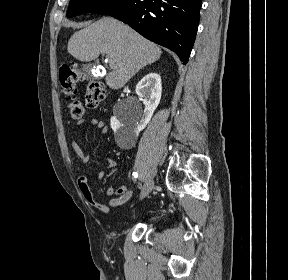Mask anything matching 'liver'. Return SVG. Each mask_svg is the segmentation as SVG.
I'll return each instance as SVG.
<instances>
[{
  "label": "liver",
  "mask_w": 288,
  "mask_h": 280,
  "mask_svg": "<svg viewBox=\"0 0 288 280\" xmlns=\"http://www.w3.org/2000/svg\"><path fill=\"white\" fill-rule=\"evenodd\" d=\"M67 51L79 61L89 62L101 53L107 54L114 67L106 75V84L121 89L140 69L157 61L161 49L124 23L103 17L75 32L69 39Z\"/></svg>",
  "instance_id": "1"
}]
</instances>
